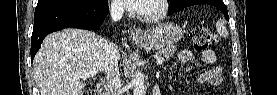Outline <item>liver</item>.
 <instances>
[{
  "label": "liver",
  "mask_w": 277,
  "mask_h": 95,
  "mask_svg": "<svg viewBox=\"0 0 277 95\" xmlns=\"http://www.w3.org/2000/svg\"><path fill=\"white\" fill-rule=\"evenodd\" d=\"M106 42L94 32L73 28L49 34L34 58L41 95H81L86 78L75 74L105 71ZM91 77L96 80V75Z\"/></svg>",
  "instance_id": "liver-1"
}]
</instances>
